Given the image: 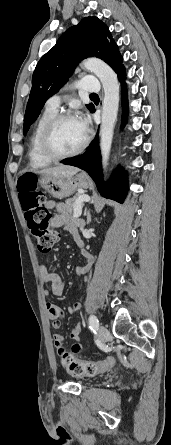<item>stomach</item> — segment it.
I'll list each match as a JSON object with an SVG mask.
<instances>
[{"label":"stomach","instance_id":"stomach-1","mask_svg":"<svg viewBox=\"0 0 171 445\" xmlns=\"http://www.w3.org/2000/svg\"><path fill=\"white\" fill-rule=\"evenodd\" d=\"M38 184L56 199H63L74 194L78 189L89 187L88 179L82 174L72 177L41 175Z\"/></svg>","mask_w":171,"mask_h":445}]
</instances>
